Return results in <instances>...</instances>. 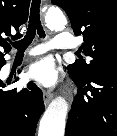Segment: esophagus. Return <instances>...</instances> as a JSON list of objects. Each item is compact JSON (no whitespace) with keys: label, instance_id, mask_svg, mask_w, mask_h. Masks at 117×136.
Listing matches in <instances>:
<instances>
[{"label":"esophagus","instance_id":"obj_1","mask_svg":"<svg viewBox=\"0 0 117 136\" xmlns=\"http://www.w3.org/2000/svg\"><path fill=\"white\" fill-rule=\"evenodd\" d=\"M43 100H44V104L45 106H47L50 101L52 100V94L48 91H43Z\"/></svg>","mask_w":117,"mask_h":136}]
</instances>
